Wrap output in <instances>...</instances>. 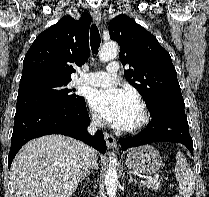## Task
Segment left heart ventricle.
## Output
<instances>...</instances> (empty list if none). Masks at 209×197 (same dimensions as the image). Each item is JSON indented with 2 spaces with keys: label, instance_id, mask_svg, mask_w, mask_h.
Returning <instances> with one entry per match:
<instances>
[{
  "label": "left heart ventricle",
  "instance_id": "left-heart-ventricle-1",
  "mask_svg": "<svg viewBox=\"0 0 209 197\" xmlns=\"http://www.w3.org/2000/svg\"><path fill=\"white\" fill-rule=\"evenodd\" d=\"M138 116H139V110H137V113L135 115V118H134V121H133L132 125L137 121Z\"/></svg>",
  "mask_w": 209,
  "mask_h": 197
}]
</instances>
